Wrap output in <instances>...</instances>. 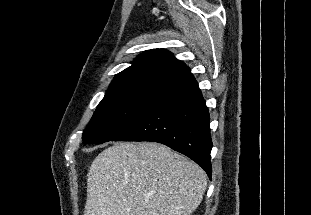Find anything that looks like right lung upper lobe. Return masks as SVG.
I'll return each instance as SVG.
<instances>
[{
  "instance_id": "1",
  "label": "right lung upper lobe",
  "mask_w": 311,
  "mask_h": 215,
  "mask_svg": "<svg viewBox=\"0 0 311 215\" xmlns=\"http://www.w3.org/2000/svg\"><path fill=\"white\" fill-rule=\"evenodd\" d=\"M190 73L189 67L164 49H152L137 56L132 65L117 74L110 88L138 84H167Z\"/></svg>"
}]
</instances>
